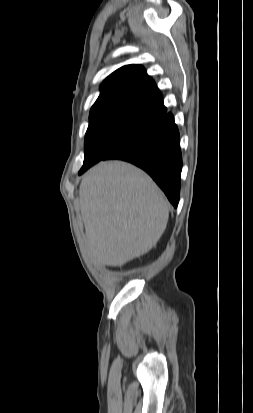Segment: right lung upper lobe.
Instances as JSON below:
<instances>
[{
  "label": "right lung upper lobe",
  "instance_id": "obj_1",
  "mask_svg": "<svg viewBox=\"0 0 253 413\" xmlns=\"http://www.w3.org/2000/svg\"><path fill=\"white\" fill-rule=\"evenodd\" d=\"M100 90L90 115L111 110H130L159 118L168 114L155 82L141 65L119 68L103 81Z\"/></svg>",
  "mask_w": 253,
  "mask_h": 413
}]
</instances>
